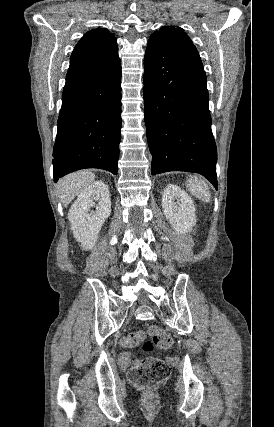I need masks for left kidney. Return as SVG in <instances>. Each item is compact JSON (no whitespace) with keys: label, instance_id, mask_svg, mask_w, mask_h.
<instances>
[{"label":"left kidney","instance_id":"1","mask_svg":"<svg viewBox=\"0 0 274 427\" xmlns=\"http://www.w3.org/2000/svg\"><path fill=\"white\" fill-rule=\"evenodd\" d=\"M162 208L177 233L191 231L196 223V210L193 200L179 186L169 184L162 196Z\"/></svg>","mask_w":274,"mask_h":427}]
</instances>
